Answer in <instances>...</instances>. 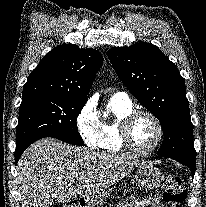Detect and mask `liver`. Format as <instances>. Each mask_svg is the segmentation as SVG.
I'll return each mask as SVG.
<instances>
[{
  "instance_id": "1",
  "label": "liver",
  "mask_w": 206,
  "mask_h": 207,
  "mask_svg": "<svg viewBox=\"0 0 206 207\" xmlns=\"http://www.w3.org/2000/svg\"><path fill=\"white\" fill-rule=\"evenodd\" d=\"M139 161L75 147L54 138L36 141L17 164L22 207H51L83 197L88 207H99L108 191Z\"/></svg>"
}]
</instances>
